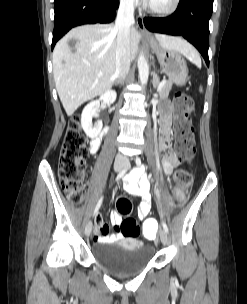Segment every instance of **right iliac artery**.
Wrapping results in <instances>:
<instances>
[{
    "instance_id": "obj_1",
    "label": "right iliac artery",
    "mask_w": 247,
    "mask_h": 304,
    "mask_svg": "<svg viewBox=\"0 0 247 304\" xmlns=\"http://www.w3.org/2000/svg\"><path fill=\"white\" fill-rule=\"evenodd\" d=\"M129 167H130V166L125 167V168L117 175L116 180H119L120 178H122V177L126 174V172L128 171ZM131 174H132V173H130L129 175H126L125 178L127 179ZM101 202H102V200H100V201L98 202V204H97V206H96V208H95V210H94L93 216L97 213V211H98V209H99V207H100V205H101Z\"/></svg>"
}]
</instances>
